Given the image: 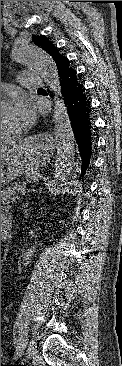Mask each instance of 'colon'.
<instances>
[{
    "mask_svg": "<svg viewBox=\"0 0 122 366\" xmlns=\"http://www.w3.org/2000/svg\"><path fill=\"white\" fill-rule=\"evenodd\" d=\"M6 225H4V224H1V234H2V232L4 231V230H6Z\"/></svg>",
    "mask_w": 122,
    "mask_h": 366,
    "instance_id": "5ec220e1",
    "label": "colon"
}]
</instances>
